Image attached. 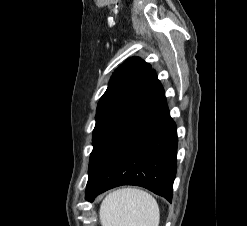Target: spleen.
<instances>
[{
	"mask_svg": "<svg viewBox=\"0 0 247 226\" xmlns=\"http://www.w3.org/2000/svg\"><path fill=\"white\" fill-rule=\"evenodd\" d=\"M102 226H158L160 212L147 192L124 188L107 195L100 206Z\"/></svg>",
	"mask_w": 247,
	"mask_h": 226,
	"instance_id": "obj_1",
	"label": "spleen"
}]
</instances>
